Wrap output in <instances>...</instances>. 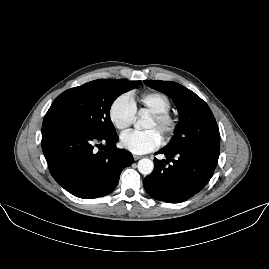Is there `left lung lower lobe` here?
I'll return each instance as SVG.
<instances>
[{
	"mask_svg": "<svg viewBox=\"0 0 269 269\" xmlns=\"http://www.w3.org/2000/svg\"><path fill=\"white\" fill-rule=\"evenodd\" d=\"M157 153L167 159H154V170L143 185L152 198L168 203L186 201L201 191L212 177L219 157L206 149L164 147Z\"/></svg>",
	"mask_w": 269,
	"mask_h": 269,
	"instance_id": "left-lung-lower-lobe-1",
	"label": "left lung lower lobe"
}]
</instances>
